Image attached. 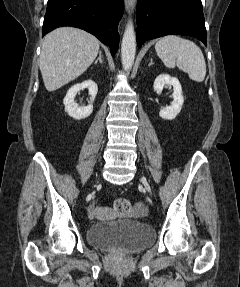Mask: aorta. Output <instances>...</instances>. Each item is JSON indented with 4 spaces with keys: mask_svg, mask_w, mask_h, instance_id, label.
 I'll list each match as a JSON object with an SVG mask.
<instances>
[{
    "mask_svg": "<svg viewBox=\"0 0 240 287\" xmlns=\"http://www.w3.org/2000/svg\"><path fill=\"white\" fill-rule=\"evenodd\" d=\"M136 53V36L132 21H129L121 43V61L125 71H129L134 63Z\"/></svg>",
    "mask_w": 240,
    "mask_h": 287,
    "instance_id": "obj_1",
    "label": "aorta"
}]
</instances>
